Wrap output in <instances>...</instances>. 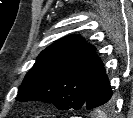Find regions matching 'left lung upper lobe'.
<instances>
[{"label":"left lung upper lobe","instance_id":"obj_1","mask_svg":"<svg viewBox=\"0 0 133 118\" xmlns=\"http://www.w3.org/2000/svg\"><path fill=\"white\" fill-rule=\"evenodd\" d=\"M104 70L95 47L86 44L82 37L71 35L41 52L19 87L16 99L52 103L60 110H79L85 108Z\"/></svg>","mask_w":133,"mask_h":118}]
</instances>
